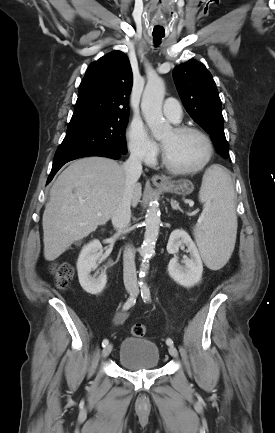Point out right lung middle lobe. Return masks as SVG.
Wrapping results in <instances>:
<instances>
[{"label": "right lung middle lobe", "mask_w": 275, "mask_h": 433, "mask_svg": "<svg viewBox=\"0 0 275 433\" xmlns=\"http://www.w3.org/2000/svg\"><path fill=\"white\" fill-rule=\"evenodd\" d=\"M128 118L84 117L71 119L67 134L55 156L96 149H111L126 154L127 146L124 134Z\"/></svg>", "instance_id": "right-lung-middle-lobe-1"}]
</instances>
